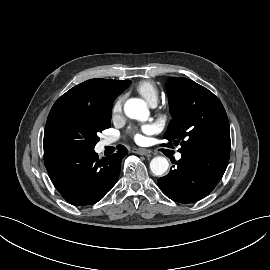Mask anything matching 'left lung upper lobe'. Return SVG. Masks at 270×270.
I'll use <instances>...</instances> for the list:
<instances>
[{
	"instance_id": "5c2ea615",
	"label": "left lung upper lobe",
	"mask_w": 270,
	"mask_h": 270,
	"mask_svg": "<svg viewBox=\"0 0 270 270\" xmlns=\"http://www.w3.org/2000/svg\"><path fill=\"white\" fill-rule=\"evenodd\" d=\"M170 113L164 139L180 143V153H216L230 156V129L220 100L187 78L170 77L166 85Z\"/></svg>"
}]
</instances>
